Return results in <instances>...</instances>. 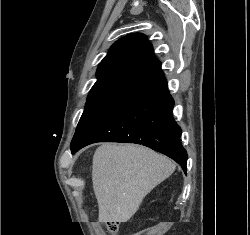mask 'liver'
<instances>
[{
	"label": "liver",
	"instance_id": "6515ba94",
	"mask_svg": "<svg viewBox=\"0 0 250 235\" xmlns=\"http://www.w3.org/2000/svg\"><path fill=\"white\" fill-rule=\"evenodd\" d=\"M175 168L169 158L143 146L109 143L99 146L92 163L99 221L127 222L145 196Z\"/></svg>",
	"mask_w": 250,
	"mask_h": 235
}]
</instances>
